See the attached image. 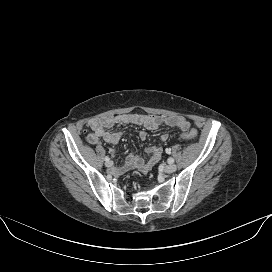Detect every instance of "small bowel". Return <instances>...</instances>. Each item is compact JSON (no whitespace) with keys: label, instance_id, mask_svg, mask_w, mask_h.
<instances>
[{"label":"small bowel","instance_id":"small-bowel-1","mask_svg":"<svg viewBox=\"0 0 272 272\" xmlns=\"http://www.w3.org/2000/svg\"><path fill=\"white\" fill-rule=\"evenodd\" d=\"M90 133L88 134V140L92 144H98L101 139L110 144H117L122 137L119 132H111L108 129L114 125H139L148 130H156L161 125L169 127H178L183 131L190 128V123L182 116L169 115H144V114H119L115 116H108L103 118H94L88 123ZM141 140H145L146 133L140 131L138 133ZM168 140L167 134H162L159 137L160 142H166ZM148 158L143 159L139 155L131 154L126 159L125 163L114 169L115 173H121L128 169H139L142 172L150 170L162 157L163 150L161 146L154 145L147 149ZM114 154V153H113Z\"/></svg>","mask_w":272,"mask_h":272}]
</instances>
